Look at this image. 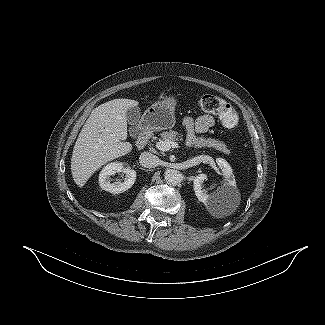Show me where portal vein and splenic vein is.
I'll return each mask as SVG.
<instances>
[{"mask_svg":"<svg viewBox=\"0 0 325 325\" xmlns=\"http://www.w3.org/2000/svg\"><path fill=\"white\" fill-rule=\"evenodd\" d=\"M157 149L161 151H168L171 148H178L179 145L177 142H172V141H159L156 143Z\"/></svg>","mask_w":325,"mask_h":325,"instance_id":"obj_1","label":"portal vein and splenic vein"}]
</instances>
